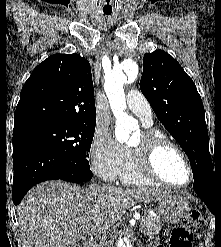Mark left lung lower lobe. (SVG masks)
Masks as SVG:
<instances>
[{"label":"left lung lower lobe","mask_w":221,"mask_h":247,"mask_svg":"<svg viewBox=\"0 0 221 247\" xmlns=\"http://www.w3.org/2000/svg\"><path fill=\"white\" fill-rule=\"evenodd\" d=\"M193 188L213 213L216 203L221 200V174L213 172L207 177L195 180Z\"/></svg>","instance_id":"1"}]
</instances>
